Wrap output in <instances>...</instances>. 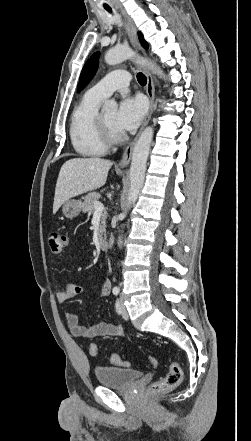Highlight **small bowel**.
Listing matches in <instances>:
<instances>
[{"label": "small bowel", "instance_id": "obj_1", "mask_svg": "<svg viewBox=\"0 0 251 441\" xmlns=\"http://www.w3.org/2000/svg\"><path fill=\"white\" fill-rule=\"evenodd\" d=\"M85 291V288L78 284H67L62 290L56 291V299L60 303H65L78 294ZM110 292V282L105 279L100 284L97 295L100 297L107 296ZM65 318L71 333L80 338H93L99 336H116L124 335V328L109 322H98L93 326L86 327L80 324L79 317L72 313L66 312Z\"/></svg>", "mask_w": 251, "mask_h": 441}]
</instances>
